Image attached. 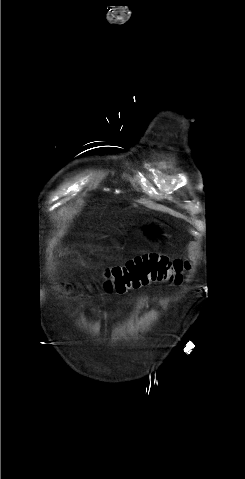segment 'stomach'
<instances>
[{"label":"stomach","mask_w":245,"mask_h":479,"mask_svg":"<svg viewBox=\"0 0 245 479\" xmlns=\"http://www.w3.org/2000/svg\"><path fill=\"white\" fill-rule=\"evenodd\" d=\"M143 232L149 238L154 239L158 236V234L161 232V230H160V226L156 222H152V223L147 224L143 228Z\"/></svg>","instance_id":"0dacf381"}]
</instances>
